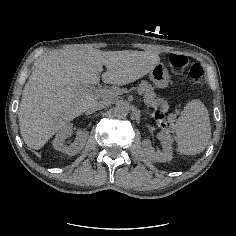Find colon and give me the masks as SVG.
Wrapping results in <instances>:
<instances>
[{
  "mask_svg": "<svg viewBox=\"0 0 236 236\" xmlns=\"http://www.w3.org/2000/svg\"><path fill=\"white\" fill-rule=\"evenodd\" d=\"M167 61L171 70L180 74L188 63V57L179 53H170L167 57ZM203 75L204 68L202 64L199 62H193L188 70V77L190 80L194 83H200L202 82ZM164 114V111L160 108L155 111V117L158 120H161Z\"/></svg>",
  "mask_w": 236,
  "mask_h": 236,
  "instance_id": "1",
  "label": "colon"
}]
</instances>
